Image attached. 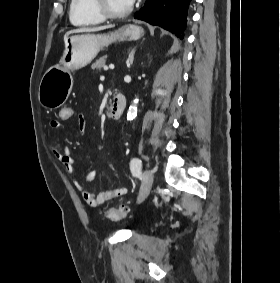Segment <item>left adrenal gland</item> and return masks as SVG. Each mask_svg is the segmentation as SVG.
<instances>
[{
  "label": "left adrenal gland",
  "instance_id": "obj_1",
  "mask_svg": "<svg viewBox=\"0 0 280 283\" xmlns=\"http://www.w3.org/2000/svg\"><path fill=\"white\" fill-rule=\"evenodd\" d=\"M134 53H135V49H133V50L131 51V53L129 54V59H128L129 64H132V63H133V60H134Z\"/></svg>",
  "mask_w": 280,
  "mask_h": 283
}]
</instances>
